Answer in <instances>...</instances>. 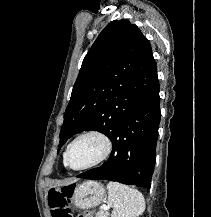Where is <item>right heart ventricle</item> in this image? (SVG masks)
<instances>
[{
  "mask_svg": "<svg viewBox=\"0 0 211 217\" xmlns=\"http://www.w3.org/2000/svg\"><path fill=\"white\" fill-rule=\"evenodd\" d=\"M63 162H64V165L66 166V164H65V153H64V160H63Z\"/></svg>",
  "mask_w": 211,
  "mask_h": 217,
  "instance_id": "1",
  "label": "right heart ventricle"
}]
</instances>
